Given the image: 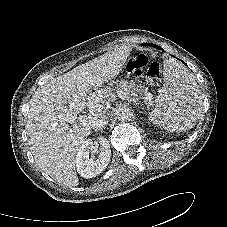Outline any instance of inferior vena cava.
<instances>
[{
	"mask_svg": "<svg viewBox=\"0 0 227 227\" xmlns=\"http://www.w3.org/2000/svg\"><path fill=\"white\" fill-rule=\"evenodd\" d=\"M108 116L105 112H101L94 116L90 122L91 128L95 131L101 130L104 128L108 123Z\"/></svg>",
	"mask_w": 227,
	"mask_h": 227,
	"instance_id": "602c4592",
	"label": "inferior vena cava"
}]
</instances>
